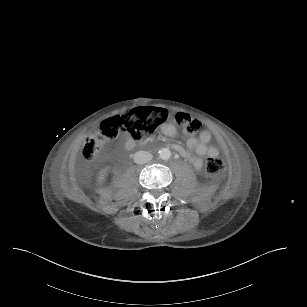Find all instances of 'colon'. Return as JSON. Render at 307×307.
<instances>
[{
    "instance_id": "colon-1",
    "label": "colon",
    "mask_w": 307,
    "mask_h": 307,
    "mask_svg": "<svg viewBox=\"0 0 307 307\" xmlns=\"http://www.w3.org/2000/svg\"><path fill=\"white\" fill-rule=\"evenodd\" d=\"M168 115V112L163 108L141 107L106 120L93 135L85 139L81 148L82 158L92 160L106 140L113 139L120 133L135 140L146 137L158 128ZM175 120L189 135H195L201 131V122L185 112H177ZM223 169L224 162L219 156L212 155L206 162L208 175H219Z\"/></svg>"
}]
</instances>
